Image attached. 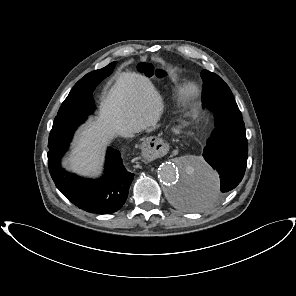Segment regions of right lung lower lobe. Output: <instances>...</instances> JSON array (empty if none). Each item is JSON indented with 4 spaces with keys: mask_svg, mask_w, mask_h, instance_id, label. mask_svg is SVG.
<instances>
[{
    "mask_svg": "<svg viewBox=\"0 0 296 296\" xmlns=\"http://www.w3.org/2000/svg\"><path fill=\"white\" fill-rule=\"evenodd\" d=\"M69 143L62 142L49 148V171L57 188L71 203L87 212L111 214L120 210L127 199L134 174L125 169L119 151L107 149L102 178L83 179L60 166Z\"/></svg>",
    "mask_w": 296,
    "mask_h": 296,
    "instance_id": "98d812e1",
    "label": "right lung lower lobe"
}]
</instances>
